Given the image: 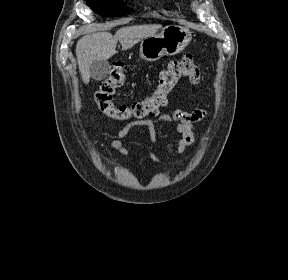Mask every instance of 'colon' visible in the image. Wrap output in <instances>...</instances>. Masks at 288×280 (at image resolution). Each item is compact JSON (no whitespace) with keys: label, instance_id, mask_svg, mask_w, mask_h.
Returning a JSON list of instances; mask_svg holds the SVG:
<instances>
[{"label":"colon","instance_id":"obj_1","mask_svg":"<svg viewBox=\"0 0 288 280\" xmlns=\"http://www.w3.org/2000/svg\"><path fill=\"white\" fill-rule=\"evenodd\" d=\"M183 78L198 83L200 71L192 55L187 54L179 60L171 61L159 74L157 87L146 97L131 104L116 105L113 102L115 91L124 84L125 74L122 65L115 64L108 78L95 94L99 110L108 117L125 121L154 116L168 102V94Z\"/></svg>","mask_w":288,"mask_h":280}]
</instances>
